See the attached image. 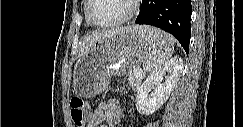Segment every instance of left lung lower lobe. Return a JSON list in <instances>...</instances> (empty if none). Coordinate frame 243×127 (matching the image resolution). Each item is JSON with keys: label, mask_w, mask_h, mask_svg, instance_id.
<instances>
[{"label": "left lung lower lobe", "mask_w": 243, "mask_h": 127, "mask_svg": "<svg viewBox=\"0 0 243 127\" xmlns=\"http://www.w3.org/2000/svg\"><path fill=\"white\" fill-rule=\"evenodd\" d=\"M191 12V0H142L136 23L152 25L169 32L188 54Z\"/></svg>", "instance_id": "obj_1"}]
</instances>
